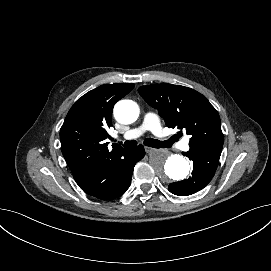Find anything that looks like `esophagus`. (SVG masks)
<instances>
[{
    "instance_id": "obj_1",
    "label": "esophagus",
    "mask_w": 271,
    "mask_h": 271,
    "mask_svg": "<svg viewBox=\"0 0 271 271\" xmlns=\"http://www.w3.org/2000/svg\"><path fill=\"white\" fill-rule=\"evenodd\" d=\"M145 151L147 152V153H151V152H155V151H157V149H155V148H152V147H145Z\"/></svg>"
}]
</instances>
